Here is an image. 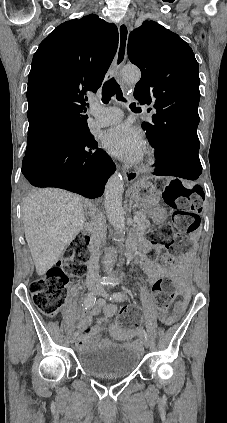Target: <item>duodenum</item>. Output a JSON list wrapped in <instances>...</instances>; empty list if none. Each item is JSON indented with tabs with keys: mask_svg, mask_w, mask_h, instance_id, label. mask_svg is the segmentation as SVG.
<instances>
[{
	"mask_svg": "<svg viewBox=\"0 0 227 423\" xmlns=\"http://www.w3.org/2000/svg\"><path fill=\"white\" fill-rule=\"evenodd\" d=\"M147 242H143L140 246H134L133 244L130 245V248L136 253H140V255L146 250Z\"/></svg>",
	"mask_w": 227,
	"mask_h": 423,
	"instance_id": "1",
	"label": "duodenum"
}]
</instances>
